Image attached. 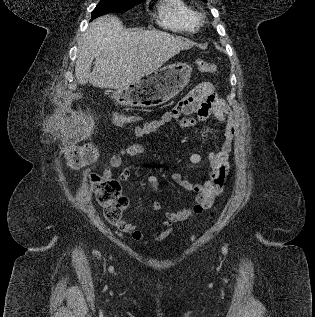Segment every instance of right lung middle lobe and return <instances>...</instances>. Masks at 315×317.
Instances as JSON below:
<instances>
[{
  "label": "right lung middle lobe",
  "mask_w": 315,
  "mask_h": 317,
  "mask_svg": "<svg viewBox=\"0 0 315 317\" xmlns=\"http://www.w3.org/2000/svg\"><path fill=\"white\" fill-rule=\"evenodd\" d=\"M145 0H100L92 12V18L112 12H126Z\"/></svg>",
  "instance_id": "obj_1"
}]
</instances>
